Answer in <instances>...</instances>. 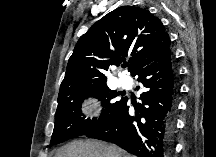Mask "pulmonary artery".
<instances>
[{
  "label": "pulmonary artery",
  "instance_id": "e3ab8cb5",
  "mask_svg": "<svg viewBox=\"0 0 216 157\" xmlns=\"http://www.w3.org/2000/svg\"><path fill=\"white\" fill-rule=\"evenodd\" d=\"M118 81H119L120 86H122L123 88H129L131 86L130 79L125 75H122V74L119 75Z\"/></svg>",
  "mask_w": 216,
  "mask_h": 157
}]
</instances>
